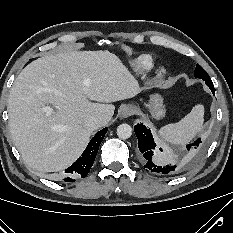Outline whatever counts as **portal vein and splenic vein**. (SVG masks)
<instances>
[{
  "mask_svg": "<svg viewBox=\"0 0 233 233\" xmlns=\"http://www.w3.org/2000/svg\"><path fill=\"white\" fill-rule=\"evenodd\" d=\"M44 110H45L46 112H48V113H50V112L52 111V109H51L50 107H48V106L45 107Z\"/></svg>",
  "mask_w": 233,
  "mask_h": 233,
  "instance_id": "1",
  "label": "portal vein and splenic vein"
}]
</instances>
